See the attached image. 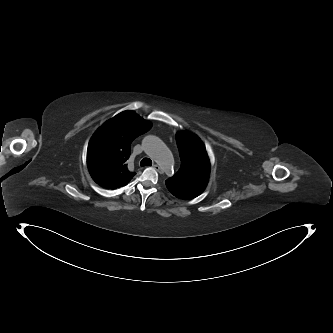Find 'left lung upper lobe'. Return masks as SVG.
<instances>
[{
    "instance_id": "left-lung-upper-lobe-1",
    "label": "left lung upper lobe",
    "mask_w": 333,
    "mask_h": 333,
    "mask_svg": "<svg viewBox=\"0 0 333 333\" xmlns=\"http://www.w3.org/2000/svg\"><path fill=\"white\" fill-rule=\"evenodd\" d=\"M181 167L168 178L166 187L180 199H193L205 189L210 175V161L204 144L195 135L181 131L176 134Z\"/></svg>"
}]
</instances>
